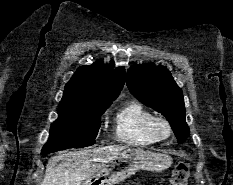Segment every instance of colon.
I'll return each instance as SVG.
<instances>
[{
	"mask_svg": "<svg viewBox=\"0 0 233 185\" xmlns=\"http://www.w3.org/2000/svg\"><path fill=\"white\" fill-rule=\"evenodd\" d=\"M190 176V164L187 161H180L175 164L171 177V185H187Z\"/></svg>",
	"mask_w": 233,
	"mask_h": 185,
	"instance_id": "obj_1",
	"label": "colon"
}]
</instances>
